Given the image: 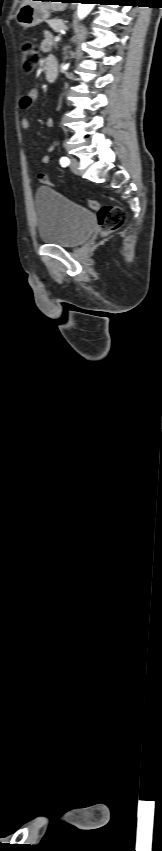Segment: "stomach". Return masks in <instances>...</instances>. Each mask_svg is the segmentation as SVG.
Here are the masks:
<instances>
[{
    "label": "stomach",
    "instance_id": "0dacf381",
    "mask_svg": "<svg viewBox=\"0 0 162 851\" xmlns=\"http://www.w3.org/2000/svg\"><path fill=\"white\" fill-rule=\"evenodd\" d=\"M50 17V11L31 4L22 5L16 14L17 23L23 28L36 26Z\"/></svg>",
    "mask_w": 162,
    "mask_h": 851
}]
</instances>
